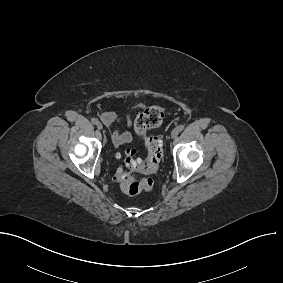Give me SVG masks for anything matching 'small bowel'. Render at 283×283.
<instances>
[{"label":"small bowel","instance_id":"small-bowel-1","mask_svg":"<svg viewBox=\"0 0 283 283\" xmlns=\"http://www.w3.org/2000/svg\"><path fill=\"white\" fill-rule=\"evenodd\" d=\"M102 122L106 126L113 124H120L123 121L130 126L132 124L131 115L127 112L123 118L119 114L110 111H103L100 115ZM112 142L115 146H120L126 143H130L133 140V136L129 131L115 130L111 136Z\"/></svg>","mask_w":283,"mask_h":283}]
</instances>
